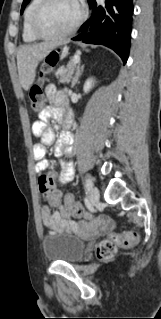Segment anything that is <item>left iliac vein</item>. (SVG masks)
<instances>
[{"label": "left iliac vein", "mask_w": 161, "mask_h": 319, "mask_svg": "<svg viewBox=\"0 0 161 319\" xmlns=\"http://www.w3.org/2000/svg\"><path fill=\"white\" fill-rule=\"evenodd\" d=\"M100 193L97 187H92L90 191V202L94 204L99 199Z\"/></svg>", "instance_id": "left-iliac-vein-1"}]
</instances>
